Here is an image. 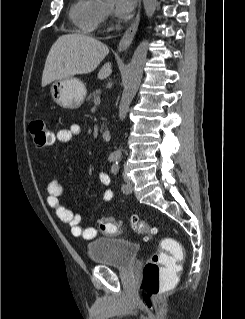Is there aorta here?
Wrapping results in <instances>:
<instances>
[{"mask_svg": "<svg viewBox=\"0 0 245 319\" xmlns=\"http://www.w3.org/2000/svg\"><path fill=\"white\" fill-rule=\"evenodd\" d=\"M144 10L148 18H151L156 10L157 0H143ZM149 42L143 40L134 51L128 67L124 90L119 104V119L123 121L129 111L130 104L135 97L143 74L146 62ZM121 151L114 152L116 159L121 158Z\"/></svg>", "mask_w": 245, "mask_h": 319, "instance_id": "aorta-1", "label": "aorta"}]
</instances>
